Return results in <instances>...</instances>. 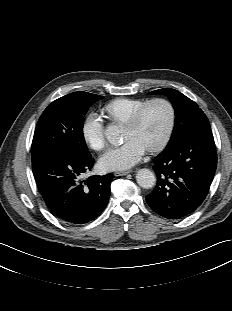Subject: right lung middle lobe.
<instances>
[{"instance_id":"1","label":"right lung middle lobe","mask_w":232,"mask_h":311,"mask_svg":"<svg viewBox=\"0 0 232 311\" xmlns=\"http://www.w3.org/2000/svg\"><path fill=\"white\" fill-rule=\"evenodd\" d=\"M102 96L78 91L53 101L41 115L32 141V157L47 151L91 157L83 136L84 114Z\"/></svg>"}]
</instances>
